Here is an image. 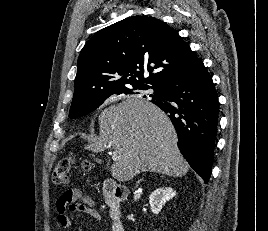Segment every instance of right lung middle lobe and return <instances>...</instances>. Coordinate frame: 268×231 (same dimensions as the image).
<instances>
[{
	"instance_id": "right-lung-middle-lobe-1",
	"label": "right lung middle lobe",
	"mask_w": 268,
	"mask_h": 231,
	"mask_svg": "<svg viewBox=\"0 0 268 231\" xmlns=\"http://www.w3.org/2000/svg\"><path fill=\"white\" fill-rule=\"evenodd\" d=\"M149 88L154 90V93L150 95V97H152V99H155V98L161 96V87L154 86V85H147V84L120 89L113 94H117V93H120V94H138L139 92H137V90H147ZM113 94H111V95H113ZM111 95H109V96H111ZM109 96L102 98L98 101H95L91 104H80V103L72 102L70 112H69V117L71 119H74L76 117L84 116V115L96 110ZM144 97H146V96H144Z\"/></svg>"
}]
</instances>
